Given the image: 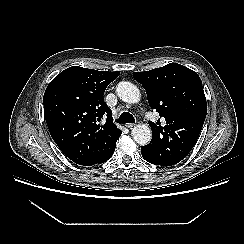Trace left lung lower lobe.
<instances>
[{
	"mask_svg": "<svg viewBox=\"0 0 244 244\" xmlns=\"http://www.w3.org/2000/svg\"><path fill=\"white\" fill-rule=\"evenodd\" d=\"M141 153H142V156L143 158L150 162V163H154L153 161V155L151 154V152L146 148V146H142L141 147Z\"/></svg>",
	"mask_w": 244,
	"mask_h": 244,
	"instance_id": "obj_1",
	"label": "left lung lower lobe"
}]
</instances>
